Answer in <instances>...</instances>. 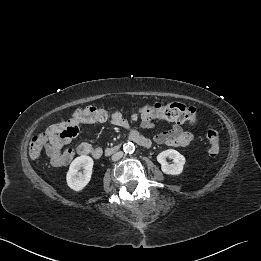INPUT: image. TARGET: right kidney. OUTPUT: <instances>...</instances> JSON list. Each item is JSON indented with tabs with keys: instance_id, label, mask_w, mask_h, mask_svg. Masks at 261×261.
I'll use <instances>...</instances> for the list:
<instances>
[{
	"instance_id": "1",
	"label": "right kidney",
	"mask_w": 261,
	"mask_h": 261,
	"mask_svg": "<svg viewBox=\"0 0 261 261\" xmlns=\"http://www.w3.org/2000/svg\"><path fill=\"white\" fill-rule=\"evenodd\" d=\"M93 165L94 161L89 156L82 155L75 158L67 172V185L77 192L83 190L91 179ZM81 168L84 169L83 174L79 172Z\"/></svg>"
}]
</instances>
